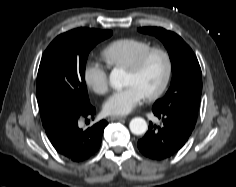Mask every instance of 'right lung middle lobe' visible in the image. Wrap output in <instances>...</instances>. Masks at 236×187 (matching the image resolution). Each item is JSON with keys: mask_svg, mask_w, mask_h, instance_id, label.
Returning a JSON list of instances; mask_svg holds the SVG:
<instances>
[{"mask_svg": "<svg viewBox=\"0 0 236 187\" xmlns=\"http://www.w3.org/2000/svg\"><path fill=\"white\" fill-rule=\"evenodd\" d=\"M111 35V31L75 29L56 37L45 50L37 75V101L46 133L90 105L85 84L88 54Z\"/></svg>", "mask_w": 236, "mask_h": 187, "instance_id": "obj_1", "label": "right lung middle lobe"}]
</instances>
